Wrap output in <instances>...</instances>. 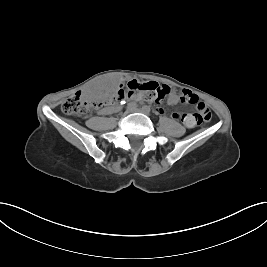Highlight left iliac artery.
Wrapping results in <instances>:
<instances>
[{
	"label": "left iliac artery",
	"mask_w": 267,
	"mask_h": 267,
	"mask_svg": "<svg viewBox=\"0 0 267 267\" xmlns=\"http://www.w3.org/2000/svg\"><path fill=\"white\" fill-rule=\"evenodd\" d=\"M143 108H144V109H146V110H147V111H149V112L151 111L150 107H149V106H147V105H146V106H144Z\"/></svg>",
	"instance_id": "obj_1"
}]
</instances>
